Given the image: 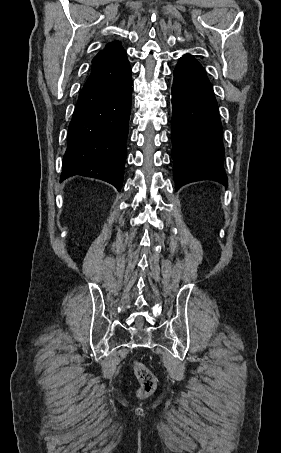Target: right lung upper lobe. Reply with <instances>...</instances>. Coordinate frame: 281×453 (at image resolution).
I'll return each mask as SVG.
<instances>
[{"mask_svg":"<svg viewBox=\"0 0 281 453\" xmlns=\"http://www.w3.org/2000/svg\"><path fill=\"white\" fill-rule=\"evenodd\" d=\"M124 51L119 41L108 43L92 60L91 70L115 58Z\"/></svg>","mask_w":281,"mask_h":453,"instance_id":"cb5924a9","label":"right lung upper lobe"}]
</instances>
